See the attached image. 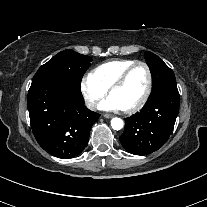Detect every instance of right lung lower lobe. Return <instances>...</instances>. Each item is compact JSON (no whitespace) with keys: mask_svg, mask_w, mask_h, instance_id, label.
<instances>
[{"mask_svg":"<svg viewBox=\"0 0 207 207\" xmlns=\"http://www.w3.org/2000/svg\"><path fill=\"white\" fill-rule=\"evenodd\" d=\"M27 107L37 142L60 158H73L83 151L100 116L84 105L81 91L53 81L31 84Z\"/></svg>","mask_w":207,"mask_h":207,"instance_id":"obj_1","label":"right lung lower lobe"}]
</instances>
